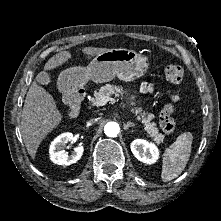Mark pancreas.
<instances>
[{"label": "pancreas", "instance_id": "pancreas-1", "mask_svg": "<svg viewBox=\"0 0 221 221\" xmlns=\"http://www.w3.org/2000/svg\"><path fill=\"white\" fill-rule=\"evenodd\" d=\"M123 94H127V91L123 89L122 86H114L112 84H106L102 86L98 91L94 92V98L91 99L92 103L96 105V102L102 96H120ZM135 105L134 102H131L129 106L131 107V112L137 115V120H141L144 124L145 131L149 134L151 138L156 143H160L164 140V135L159 133V129L156 128V123L153 122L154 115L149 114L145 111H142L141 107H133Z\"/></svg>", "mask_w": 221, "mask_h": 221}]
</instances>
